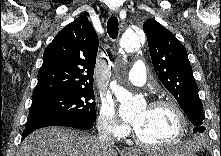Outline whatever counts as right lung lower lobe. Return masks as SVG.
Here are the masks:
<instances>
[{"label": "right lung lower lobe", "mask_w": 221, "mask_h": 156, "mask_svg": "<svg viewBox=\"0 0 221 156\" xmlns=\"http://www.w3.org/2000/svg\"><path fill=\"white\" fill-rule=\"evenodd\" d=\"M93 122H50V123H45L41 125H33V126H26L25 130L22 135V140L35 131L36 129L42 128V127H47V126H67V127H73L81 130H88L92 127Z\"/></svg>", "instance_id": "obj_1"}]
</instances>
